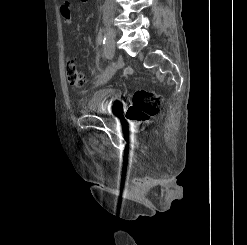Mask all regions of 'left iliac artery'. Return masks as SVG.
<instances>
[{
	"mask_svg": "<svg viewBox=\"0 0 247 245\" xmlns=\"http://www.w3.org/2000/svg\"><path fill=\"white\" fill-rule=\"evenodd\" d=\"M104 38V56L105 58L111 59L114 58L116 40L113 31H107L106 35H103Z\"/></svg>",
	"mask_w": 247,
	"mask_h": 245,
	"instance_id": "obj_1",
	"label": "left iliac artery"
}]
</instances>
